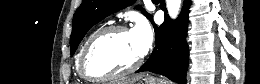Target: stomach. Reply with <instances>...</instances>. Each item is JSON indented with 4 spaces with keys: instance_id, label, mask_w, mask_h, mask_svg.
<instances>
[{
    "instance_id": "1",
    "label": "stomach",
    "mask_w": 260,
    "mask_h": 84,
    "mask_svg": "<svg viewBox=\"0 0 260 84\" xmlns=\"http://www.w3.org/2000/svg\"><path fill=\"white\" fill-rule=\"evenodd\" d=\"M138 84H168V81L165 79L155 78V77H147L144 80V83H138Z\"/></svg>"
}]
</instances>
